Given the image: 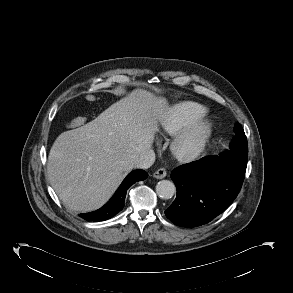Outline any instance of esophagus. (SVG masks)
I'll return each mask as SVG.
<instances>
[{
  "mask_svg": "<svg viewBox=\"0 0 293 293\" xmlns=\"http://www.w3.org/2000/svg\"><path fill=\"white\" fill-rule=\"evenodd\" d=\"M167 172L164 168H160L153 173V177L157 179H163L166 177Z\"/></svg>",
  "mask_w": 293,
  "mask_h": 293,
  "instance_id": "esophagus-1",
  "label": "esophagus"
}]
</instances>
